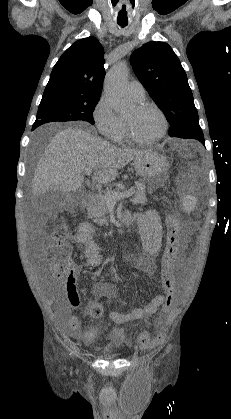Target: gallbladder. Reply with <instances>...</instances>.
<instances>
[{
  "label": "gallbladder",
  "instance_id": "1",
  "mask_svg": "<svg viewBox=\"0 0 231 419\" xmlns=\"http://www.w3.org/2000/svg\"><path fill=\"white\" fill-rule=\"evenodd\" d=\"M41 197L38 205L52 213L64 202L66 196L58 189H51L42 194Z\"/></svg>",
  "mask_w": 231,
  "mask_h": 419
}]
</instances>
